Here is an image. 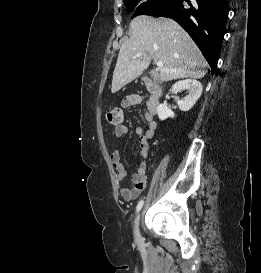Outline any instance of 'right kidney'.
<instances>
[{
    "label": "right kidney",
    "instance_id": "right-kidney-1",
    "mask_svg": "<svg viewBox=\"0 0 261 273\" xmlns=\"http://www.w3.org/2000/svg\"><path fill=\"white\" fill-rule=\"evenodd\" d=\"M182 90H188L189 94L178 101V106L181 111H189L197 102L202 94V84L195 79H185L178 81L172 86V91L178 93ZM157 114L160 120H165L169 117L173 118L175 114L168 108L166 104H160L157 108Z\"/></svg>",
    "mask_w": 261,
    "mask_h": 273
}]
</instances>
